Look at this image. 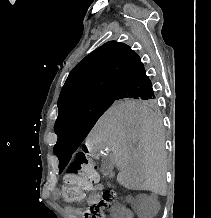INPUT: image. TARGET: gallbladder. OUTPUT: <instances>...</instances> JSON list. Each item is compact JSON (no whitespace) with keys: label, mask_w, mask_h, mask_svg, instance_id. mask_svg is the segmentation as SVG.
I'll use <instances>...</instances> for the list:
<instances>
[{"label":"gallbladder","mask_w":211,"mask_h":218,"mask_svg":"<svg viewBox=\"0 0 211 218\" xmlns=\"http://www.w3.org/2000/svg\"><path fill=\"white\" fill-rule=\"evenodd\" d=\"M157 208H159V204H157Z\"/></svg>","instance_id":"bac80fb5"}]
</instances>
